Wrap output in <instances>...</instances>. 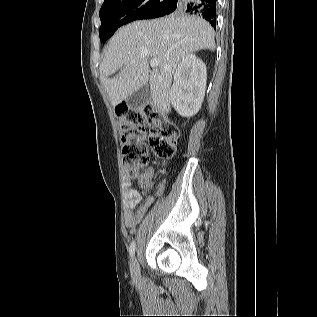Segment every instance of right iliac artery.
Listing matches in <instances>:
<instances>
[{
	"mask_svg": "<svg viewBox=\"0 0 317 317\" xmlns=\"http://www.w3.org/2000/svg\"><path fill=\"white\" fill-rule=\"evenodd\" d=\"M134 253H135V241H133L129 247V254L131 257H133Z\"/></svg>",
	"mask_w": 317,
	"mask_h": 317,
	"instance_id": "1",
	"label": "right iliac artery"
}]
</instances>
